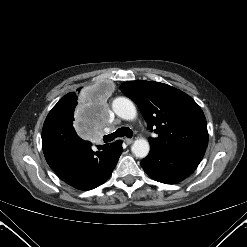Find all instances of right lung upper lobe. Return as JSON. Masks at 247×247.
<instances>
[{"label":"right lung upper lobe","mask_w":247,"mask_h":247,"mask_svg":"<svg viewBox=\"0 0 247 247\" xmlns=\"http://www.w3.org/2000/svg\"><path fill=\"white\" fill-rule=\"evenodd\" d=\"M76 98H77V94L76 93H73V92L72 93H68L64 97H62L58 103H62V102H65V101H71V100L76 99Z\"/></svg>","instance_id":"obj_1"}]
</instances>
